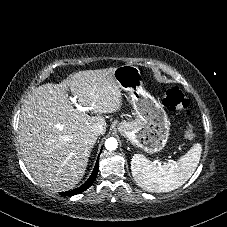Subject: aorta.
<instances>
[{
    "label": "aorta",
    "mask_w": 227,
    "mask_h": 227,
    "mask_svg": "<svg viewBox=\"0 0 227 227\" xmlns=\"http://www.w3.org/2000/svg\"><path fill=\"white\" fill-rule=\"evenodd\" d=\"M118 147V142L115 138L110 137L105 141V148L109 151L116 150Z\"/></svg>",
    "instance_id": "obj_1"
}]
</instances>
